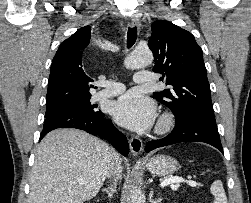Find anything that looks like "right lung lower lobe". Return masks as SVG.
I'll use <instances>...</instances> for the list:
<instances>
[{"label":"right lung lower lobe","mask_w":251,"mask_h":203,"mask_svg":"<svg viewBox=\"0 0 251 203\" xmlns=\"http://www.w3.org/2000/svg\"><path fill=\"white\" fill-rule=\"evenodd\" d=\"M57 128H76L84 130L94 136H100L110 141L124 156L129 153L128 141L110 119L96 117L81 112H66L47 117L44 122L40 140L50 131Z\"/></svg>","instance_id":"98d812e1"}]
</instances>
